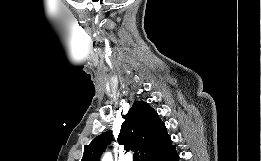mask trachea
I'll list each match as a JSON object with an SVG mask.
<instances>
[{
  "label": "trachea",
  "instance_id": "1",
  "mask_svg": "<svg viewBox=\"0 0 261 161\" xmlns=\"http://www.w3.org/2000/svg\"><path fill=\"white\" fill-rule=\"evenodd\" d=\"M133 159H134V161H139V153L138 152H135L133 154Z\"/></svg>",
  "mask_w": 261,
  "mask_h": 161
}]
</instances>
